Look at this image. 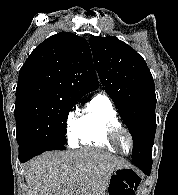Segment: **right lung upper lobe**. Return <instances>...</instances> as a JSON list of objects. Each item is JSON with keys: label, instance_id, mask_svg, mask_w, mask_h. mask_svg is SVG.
<instances>
[{"label": "right lung upper lobe", "instance_id": "right-lung-upper-lobe-1", "mask_svg": "<svg viewBox=\"0 0 178 195\" xmlns=\"http://www.w3.org/2000/svg\"><path fill=\"white\" fill-rule=\"evenodd\" d=\"M99 86L88 42L60 32L38 45L21 67L16 97L47 95L79 100Z\"/></svg>", "mask_w": 178, "mask_h": 195}]
</instances>
